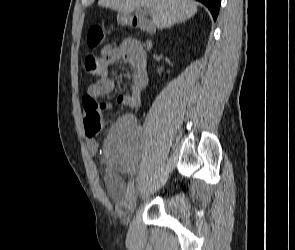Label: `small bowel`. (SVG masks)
<instances>
[{"mask_svg": "<svg viewBox=\"0 0 295 250\" xmlns=\"http://www.w3.org/2000/svg\"><path fill=\"white\" fill-rule=\"evenodd\" d=\"M99 61V79L87 87L86 96L99 98L112 92L115 82L108 74V67L124 61L134 69L133 84L130 93L119 95L117 102L122 106L138 107L142 91L148 83L146 58L140 42L126 40L119 46H105ZM101 106L105 112L111 110L109 103H102ZM87 146L91 154L97 153L98 144L94 139L88 138ZM140 149L141 132L134 118L131 116L119 118L110 129L104 146L107 165L105 182L110 192L117 198H121L126 190L125 181L118 174V170L125 169L129 163L135 162Z\"/></svg>", "mask_w": 295, "mask_h": 250, "instance_id": "c3829d8e", "label": "small bowel"}]
</instances>
